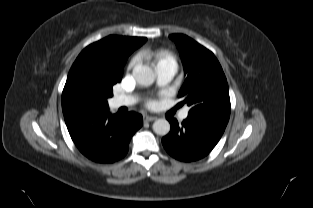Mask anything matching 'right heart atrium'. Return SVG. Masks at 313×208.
<instances>
[{
  "label": "right heart atrium",
  "instance_id": "d8ad5b80",
  "mask_svg": "<svg viewBox=\"0 0 313 208\" xmlns=\"http://www.w3.org/2000/svg\"><path fill=\"white\" fill-rule=\"evenodd\" d=\"M135 63H136V60H135V59H133V60L130 62V64H129V68H131L132 66H134V65H135Z\"/></svg>",
  "mask_w": 313,
  "mask_h": 208
}]
</instances>
